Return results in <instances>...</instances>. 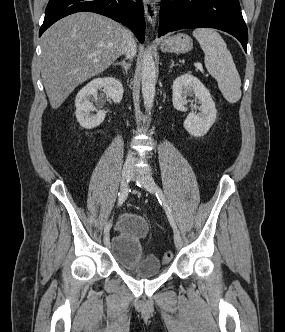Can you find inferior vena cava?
Instances as JSON below:
<instances>
[{
    "mask_svg": "<svg viewBox=\"0 0 285 332\" xmlns=\"http://www.w3.org/2000/svg\"><path fill=\"white\" fill-rule=\"evenodd\" d=\"M125 53H126L127 58H130V59H132L136 54V43L130 32H128L127 47H126ZM134 160H135L134 154L132 152H129L126 162L132 163V162H134Z\"/></svg>",
    "mask_w": 285,
    "mask_h": 332,
    "instance_id": "602c4592",
    "label": "inferior vena cava"
}]
</instances>
